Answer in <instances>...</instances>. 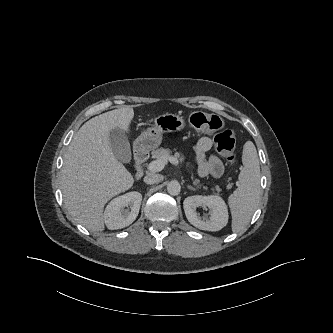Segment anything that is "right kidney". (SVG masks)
I'll return each instance as SVG.
<instances>
[{
    "label": "right kidney",
    "mask_w": 333,
    "mask_h": 333,
    "mask_svg": "<svg viewBox=\"0 0 333 333\" xmlns=\"http://www.w3.org/2000/svg\"><path fill=\"white\" fill-rule=\"evenodd\" d=\"M142 195L129 192L114 198L106 207L104 222L108 229L115 230L129 226L138 216ZM125 207H127L125 209Z\"/></svg>",
    "instance_id": "1"
}]
</instances>
